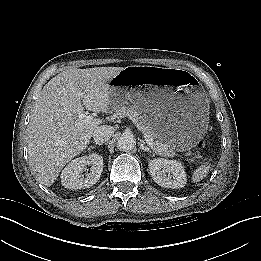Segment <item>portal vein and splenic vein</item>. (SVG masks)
Listing matches in <instances>:
<instances>
[{"label":"portal vein and splenic vein","instance_id":"18ae733b","mask_svg":"<svg viewBox=\"0 0 261 261\" xmlns=\"http://www.w3.org/2000/svg\"><path fill=\"white\" fill-rule=\"evenodd\" d=\"M79 125H83V124H101L102 120H100L99 118H94L93 116L87 115L84 111H83V107L80 109L79 111ZM144 139L146 141V143L148 144V146L155 150V143L153 141V139L150 137V135H148L146 132L142 131Z\"/></svg>","mask_w":261,"mask_h":261}]
</instances>
